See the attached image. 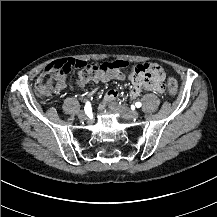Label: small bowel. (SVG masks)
<instances>
[{"mask_svg": "<svg viewBox=\"0 0 217 217\" xmlns=\"http://www.w3.org/2000/svg\"><path fill=\"white\" fill-rule=\"evenodd\" d=\"M126 79V73L123 70H104L99 66L95 67L93 71L89 75L79 74L78 78V87H84L89 82H102L106 83L112 80L123 81ZM65 78L60 76L58 78L59 88H63L65 86ZM147 88L156 93L163 92V84L162 83H154L147 84ZM141 92V89L138 83L134 82L133 87L129 93L131 99L136 98ZM119 97V91L116 89L108 90L103 98L102 107H106L115 101Z\"/></svg>", "mask_w": 217, "mask_h": 217, "instance_id": "small-bowel-1", "label": "small bowel"}]
</instances>
